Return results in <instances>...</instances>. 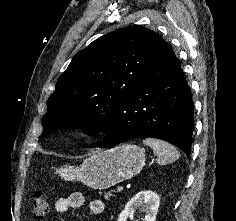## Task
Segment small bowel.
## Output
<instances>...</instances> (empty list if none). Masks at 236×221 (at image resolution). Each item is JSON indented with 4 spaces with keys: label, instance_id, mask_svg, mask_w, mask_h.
Masks as SVG:
<instances>
[{
    "label": "small bowel",
    "instance_id": "1",
    "mask_svg": "<svg viewBox=\"0 0 236 221\" xmlns=\"http://www.w3.org/2000/svg\"><path fill=\"white\" fill-rule=\"evenodd\" d=\"M86 204V198L81 193H73L67 198H59L55 202V211L65 213L71 208H80ZM105 206L101 200L89 202V210L93 215H100L104 212Z\"/></svg>",
    "mask_w": 236,
    "mask_h": 221
}]
</instances>
